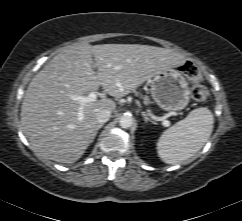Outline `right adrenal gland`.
<instances>
[{
    "label": "right adrenal gland",
    "instance_id": "1",
    "mask_svg": "<svg viewBox=\"0 0 242 221\" xmlns=\"http://www.w3.org/2000/svg\"><path fill=\"white\" fill-rule=\"evenodd\" d=\"M103 127V124L97 126L94 136L98 133V130Z\"/></svg>",
    "mask_w": 242,
    "mask_h": 221
}]
</instances>
